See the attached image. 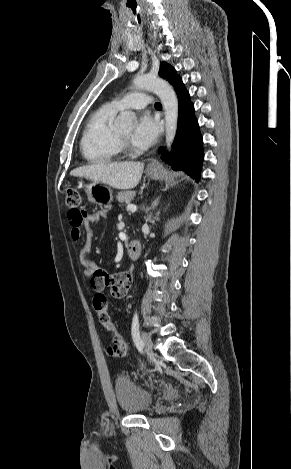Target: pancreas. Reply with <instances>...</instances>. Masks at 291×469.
<instances>
[{"mask_svg": "<svg viewBox=\"0 0 291 469\" xmlns=\"http://www.w3.org/2000/svg\"><path fill=\"white\" fill-rule=\"evenodd\" d=\"M135 194V191H122L117 194L116 198L120 203L125 202L129 204L134 199Z\"/></svg>", "mask_w": 291, "mask_h": 469, "instance_id": "obj_1", "label": "pancreas"}]
</instances>
